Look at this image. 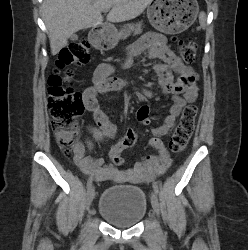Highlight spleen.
<instances>
[{
    "label": "spleen",
    "mask_w": 248,
    "mask_h": 250,
    "mask_svg": "<svg viewBox=\"0 0 248 250\" xmlns=\"http://www.w3.org/2000/svg\"><path fill=\"white\" fill-rule=\"evenodd\" d=\"M199 23L202 28H205L206 26V14L204 12H201L199 15Z\"/></svg>",
    "instance_id": "spleen-1"
}]
</instances>
